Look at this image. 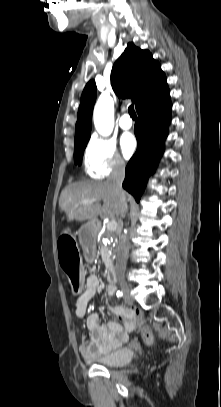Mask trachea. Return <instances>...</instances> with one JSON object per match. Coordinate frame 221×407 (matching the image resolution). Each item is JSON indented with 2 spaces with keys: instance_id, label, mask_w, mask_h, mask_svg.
I'll return each mask as SVG.
<instances>
[{
  "instance_id": "1",
  "label": "trachea",
  "mask_w": 221,
  "mask_h": 407,
  "mask_svg": "<svg viewBox=\"0 0 221 407\" xmlns=\"http://www.w3.org/2000/svg\"><path fill=\"white\" fill-rule=\"evenodd\" d=\"M128 112H129V114H130L131 117H136V112H135V110H134V106H133V105H130V106L128 107Z\"/></svg>"
}]
</instances>
